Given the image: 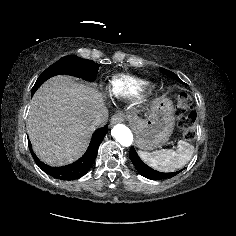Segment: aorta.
<instances>
[{
  "instance_id": "1",
  "label": "aorta",
  "mask_w": 236,
  "mask_h": 236,
  "mask_svg": "<svg viewBox=\"0 0 236 236\" xmlns=\"http://www.w3.org/2000/svg\"><path fill=\"white\" fill-rule=\"evenodd\" d=\"M111 134L122 146L128 147L133 142L131 130L123 124L115 125L111 130Z\"/></svg>"
}]
</instances>
